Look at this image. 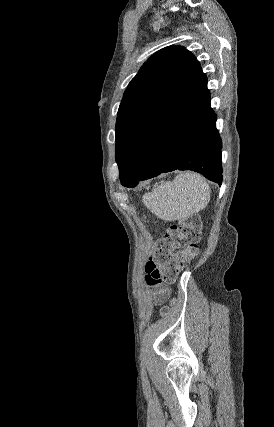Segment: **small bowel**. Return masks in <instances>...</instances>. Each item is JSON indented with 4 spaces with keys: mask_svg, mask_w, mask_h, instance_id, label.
Returning a JSON list of instances; mask_svg holds the SVG:
<instances>
[{
    "mask_svg": "<svg viewBox=\"0 0 274 427\" xmlns=\"http://www.w3.org/2000/svg\"><path fill=\"white\" fill-rule=\"evenodd\" d=\"M175 251H161L162 256L167 257L169 255H174ZM155 254H158V251H155ZM150 261V260H149ZM148 261V262H149ZM169 269H166V268ZM184 268V263L182 261H170L168 264L166 262H161L159 264H147L143 267V270L147 272L145 282L147 285L148 291H154L155 295L158 297L159 301H164L169 293V290L164 284H172L174 278L179 276V271ZM150 273H154L153 277Z\"/></svg>",
    "mask_w": 274,
    "mask_h": 427,
    "instance_id": "c3829d8e",
    "label": "small bowel"
}]
</instances>
